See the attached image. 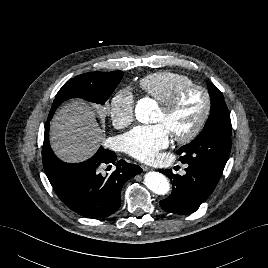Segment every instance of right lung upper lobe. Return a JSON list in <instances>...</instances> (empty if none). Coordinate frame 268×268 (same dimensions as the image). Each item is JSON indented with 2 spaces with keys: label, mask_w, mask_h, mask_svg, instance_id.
Masks as SVG:
<instances>
[{
  "label": "right lung upper lobe",
  "mask_w": 268,
  "mask_h": 268,
  "mask_svg": "<svg viewBox=\"0 0 268 268\" xmlns=\"http://www.w3.org/2000/svg\"><path fill=\"white\" fill-rule=\"evenodd\" d=\"M92 73H85L81 74L77 77H75L74 86L72 89H68V86L70 85V81L67 82L58 92V97L55 103L52 105V108L49 113V117L47 119L46 125H45V135H44V145L42 149V160L43 163H45L47 166H49L52 169H56L58 171H63V169L66 167L65 163H62L58 158L54 155L50 148L49 144V121L52 118L56 108L65 100L73 98V97H79L82 98V96L96 94L101 90L102 87V80L101 78L107 77V78H116L120 74H122L121 71H112V72H98L100 74H93ZM63 92H65L64 95ZM61 96V97H60Z\"/></svg>",
  "instance_id": "right-lung-upper-lobe-1"
}]
</instances>
